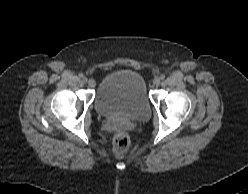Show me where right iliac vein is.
<instances>
[{"instance_id":"obj_1","label":"right iliac vein","mask_w":248,"mask_h":194,"mask_svg":"<svg viewBox=\"0 0 248 194\" xmlns=\"http://www.w3.org/2000/svg\"><path fill=\"white\" fill-rule=\"evenodd\" d=\"M82 80H83L84 83H87V81H88V79L86 77H83Z\"/></svg>"}]
</instances>
